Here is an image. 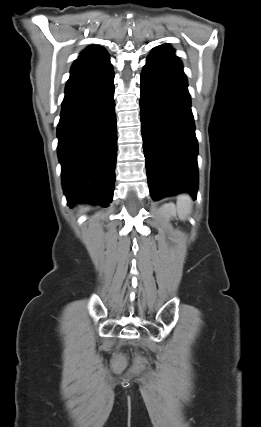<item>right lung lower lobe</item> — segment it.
Here are the masks:
<instances>
[{
    "mask_svg": "<svg viewBox=\"0 0 261 427\" xmlns=\"http://www.w3.org/2000/svg\"><path fill=\"white\" fill-rule=\"evenodd\" d=\"M112 65L68 82L57 128L58 156L68 203H111L117 132Z\"/></svg>",
    "mask_w": 261,
    "mask_h": 427,
    "instance_id": "obj_1",
    "label": "right lung lower lobe"
}]
</instances>
